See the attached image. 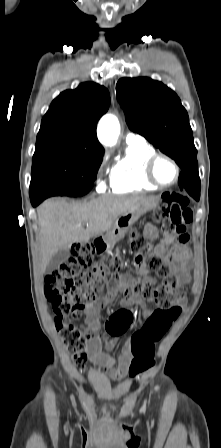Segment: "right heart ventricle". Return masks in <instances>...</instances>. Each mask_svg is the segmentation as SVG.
<instances>
[{
  "label": "right heart ventricle",
  "instance_id": "e07e8e85",
  "mask_svg": "<svg viewBox=\"0 0 221 448\" xmlns=\"http://www.w3.org/2000/svg\"><path fill=\"white\" fill-rule=\"evenodd\" d=\"M154 153L155 150L146 142L129 143L124 155L111 169L110 190L114 193H130L157 188L145 177V163Z\"/></svg>",
  "mask_w": 221,
  "mask_h": 448
}]
</instances>
